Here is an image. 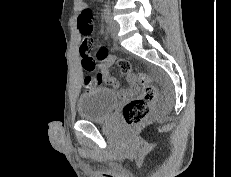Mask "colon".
Listing matches in <instances>:
<instances>
[{"label":"colon","instance_id":"1","mask_svg":"<svg viewBox=\"0 0 231 177\" xmlns=\"http://www.w3.org/2000/svg\"><path fill=\"white\" fill-rule=\"evenodd\" d=\"M92 17V10L87 8L81 12L77 20L79 31L83 36L80 48L82 65L89 73L84 78V84L87 88H92L98 84L97 75L93 76L90 74L96 69V59L116 64L122 73L134 76L136 83L142 88V93L124 105L122 115L125 123L129 127L137 126L149 114L151 106L157 97V89L153 85L149 75L144 72H135L129 61L116 56H111L105 49H99L96 52V58L91 55L94 49Z\"/></svg>","mask_w":231,"mask_h":177}]
</instances>
